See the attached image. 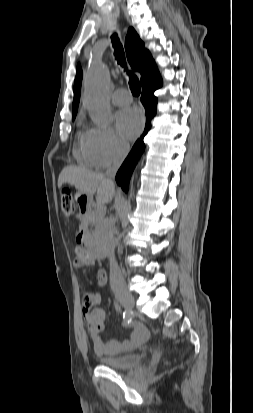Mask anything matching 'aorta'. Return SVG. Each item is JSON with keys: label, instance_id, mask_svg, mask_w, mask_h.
Masks as SVG:
<instances>
[{"label": "aorta", "instance_id": "1", "mask_svg": "<svg viewBox=\"0 0 253 413\" xmlns=\"http://www.w3.org/2000/svg\"><path fill=\"white\" fill-rule=\"evenodd\" d=\"M110 89L108 67L100 62L92 64L85 76L83 103L93 122L99 126H107L112 118Z\"/></svg>", "mask_w": 253, "mask_h": 413}]
</instances>
